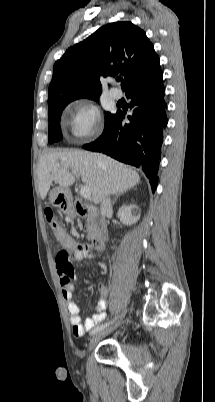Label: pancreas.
Masks as SVG:
<instances>
[{"label":"pancreas","instance_id":"cf45deb5","mask_svg":"<svg viewBox=\"0 0 215 402\" xmlns=\"http://www.w3.org/2000/svg\"><path fill=\"white\" fill-rule=\"evenodd\" d=\"M87 228V239L94 240L99 233V228L96 220L94 218H88L86 222Z\"/></svg>","mask_w":215,"mask_h":402}]
</instances>
